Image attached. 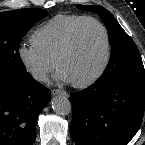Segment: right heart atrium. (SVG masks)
<instances>
[{
  "label": "right heart atrium",
  "instance_id": "d8ad5b80",
  "mask_svg": "<svg viewBox=\"0 0 145 145\" xmlns=\"http://www.w3.org/2000/svg\"><path fill=\"white\" fill-rule=\"evenodd\" d=\"M18 58L29 75L39 82H45L55 68V62L46 57L33 43L21 44L18 47Z\"/></svg>",
  "mask_w": 145,
  "mask_h": 145
}]
</instances>
